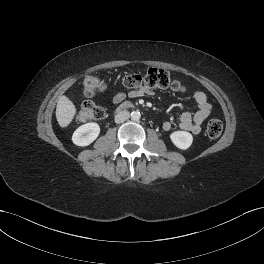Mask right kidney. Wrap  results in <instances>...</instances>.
Returning <instances> with one entry per match:
<instances>
[{
	"instance_id": "1",
	"label": "right kidney",
	"mask_w": 264,
	"mask_h": 264,
	"mask_svg": "<svg viewBox=\"0 0 264 264\" xmlns=\"http://www.w3.org/2000/svg\"><path fill=\"white\" fill-rule=\"evenodd\" d=\"M100 126L97 123H86L73 133L72 141L77 146H88L99 136Z\"/></svg>"
}]
</instances>
